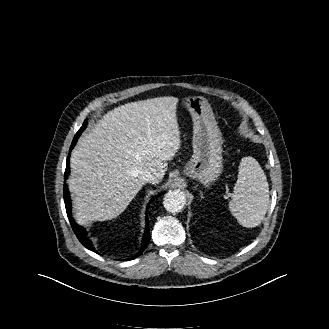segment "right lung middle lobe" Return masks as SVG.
Instances as JSON below:
<instances>
[{"instance_id": "obj_1", "label": "right lung middle lobe", "mask_w": 329, "mask_h": 329, "mask_svg": "<svg viewBox=\"0 0 329 329\" xmlns=\"http://www.w3.org/2000/svg\"><path fill=\"white\" fill-rule=\"evenodd\" d=\"M86 124H87V121L85 120L84 123H83V125H82V127H81V128L79 129V131L76 133V135H75V137H74V139H73V141H72L71 146L75 145V143H76V141H77V138L79 137V135L81 134V132L85 129Z\"/></svg>"}]
</instances>
